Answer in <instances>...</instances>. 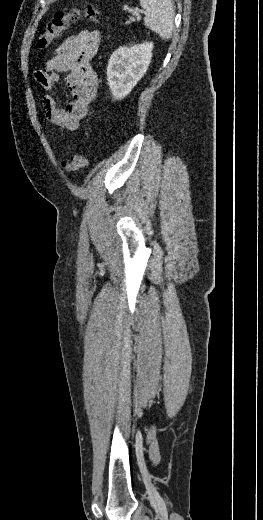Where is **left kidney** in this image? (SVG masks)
Segmentation results:
<instances>
[{"mask_svg": "<svg viewBox=\"0 0 263 520\" xmlns=\"http://www.w3.org/2000/svg\"><path fill=\"white\" fill-rule=\"evenodd\" d=\"M153 43L120 47L110 57L107 81L113 98H125L146 73L152 58Z\"/></svg>", "mask_w": 263, "mask_h": 520, "instance_id": "5707ae66", "label": "left kidney"}]
</instances>
